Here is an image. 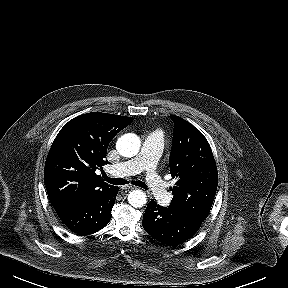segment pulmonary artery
Returning a JSON list of instances; mask_svg holds the SVG:
<instances>
[{
	"mask_svg": "<svg viewBox=\"0 0 288 288\" xmlns=\"http://www.w3.org/2000/svg\"><path fill=\"white\" fill-rule=\"evenodd\" d=\"M163 147V133L159 130L153 131L147 135L142 144L140 153L135 158L112 165L111 172L114 175L121 176L145 172V180L148 188L151 190L159 204L166 205L171 200V193L157 170Z\"/></svg>",
	"mask_w": 288,
	"mask_h": 288,
	"instance_id": "pulmonary-artery-1",
	"label": "pulmonary artery"
}]
</instances>
